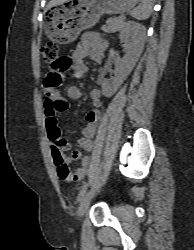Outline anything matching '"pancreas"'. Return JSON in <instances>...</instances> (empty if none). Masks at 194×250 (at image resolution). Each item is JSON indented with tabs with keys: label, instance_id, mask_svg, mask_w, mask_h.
<instances>
[{
	"label": "pancreas",
	"instance_id": "obj_1",
	"mask_svg": "<svg viewBox=\"0 0 194 250\" xmlns=\"http://www.w3.org/2000/svg\"><path fill=\"white\" fill-rule=\"evenodd\" d=\"M124 22L120 17H111L107 19L106 25L102 27L104 32H116L123 28Z\"/></svg>",
	"mask_w": 194,
	"mask_h": 250
}]
</instances>
